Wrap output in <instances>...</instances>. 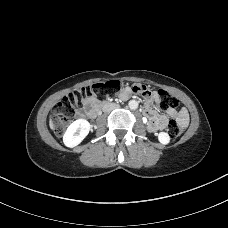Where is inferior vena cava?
Masks as SVG:
<instances>
[{
  "label": "inferior vena cava",
  "instance_id": "inferior-vena-cava-1",
  "mask_svg": "<svg viewBox=\"0 0 228 228\" xmlns=\"http://www.w3.org/2000/svg\"><path fill=\"white\" fill-rule=\"evenodd\" d=\"M118 108V105L115 104V103H110V104H106L104 107H103V111L104 112H110L114 109Z\"/></svg>",
  "mask_w": 228,
  "mask_h": 228
}]
</instances>
